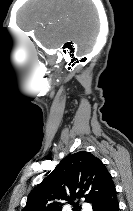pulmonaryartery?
Segmentation results:
<instances>
[{"label":"pulmonary artery","mask_w":133,"mask_h":211,"mask_svg":"<svg viewBox=\"0 0 133 211\" xmlns=\"http://www.w3.org/2000/svg\"><path fill=\"white\" fill-rule=\"evenodd\" d=\"M82 207H83V211H91L89 205L86 204V203H84V204L82 205Z\"/></svg>","instance_id":"1"}]
</instances>
